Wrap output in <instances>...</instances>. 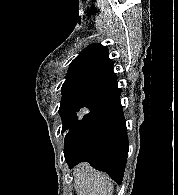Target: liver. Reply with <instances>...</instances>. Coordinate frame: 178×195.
Here are the masks:
<instances>
[{
  "label": "liver",
  "instance_id": "6515ba94",
  "mask_svg": "<svg viewBox=\"0 0 178 195\" xmlns=\"http://www.w3.org/2000/svg\"><path fill=\"white\" fill-rule=\"evenodd\" d=\"M74 186L78 195H112L113 182L107 174L97 171L87 163L74 171Z\"/></svg>",
  "mask_w": 178,
  "mask_h": 195
}]
</instances>
